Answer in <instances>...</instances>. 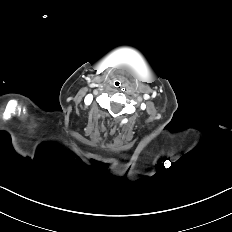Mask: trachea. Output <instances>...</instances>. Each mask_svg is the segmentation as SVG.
<instances>
[{
	"label": "trachea",
	"mask_w": 232,
	"mask_h": 232,
	"mask_svg": "<svg viewBox=\"0 0 232 232\" xmlns=\"http://www.w3.org/2000/svg\"><path fill=\"white\" fill-rule=\"evenodd\" d=\"M113 86H114L115 88H121L122 82H121L120 80H115V81L113 82Z\"/></svg>",
	"instance_id": "obj_1"
}]
</instances>
